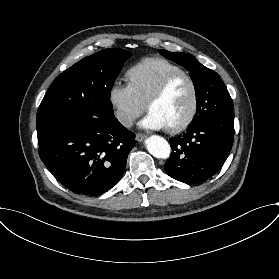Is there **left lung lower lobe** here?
I'll use <instances>...</instances> for the list:
<instances>
[{
	"instance_id": "1",
	"label": "left lung lower lobe",
	"mask_w": 279,
	"mask_h": 279,
	"mask_svg": "<svg viewBox=\"0 0 279 279\" xmlns=\"http://www.w3.org/2000/svg\"><path fill=\"white\" fill-rule=\"evenodd\" d=\"M234 140V120L205 118L191 124L183 135L170 139L171 157L166 173L184 183L213 176L227 159Z\"/></svg>"
}]
</instances>
